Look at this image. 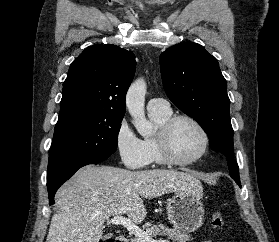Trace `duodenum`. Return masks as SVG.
<instances>
[{
  "mask_svg": "<svg viewBox=\"0 0 279 242\" xmlns=\"http://www.w3.org/2000/svg\"><path fill=\"white\" fill-rule=\"evenodd\" d=\"M115 242H128V239L123 236H119L116 238Z\"/></svg>",
  "mask_w": 279,
  "mask_h": 242,
  "instance_id": "duodenum-1",
  "label": "duodenum"
}]
</instances>
